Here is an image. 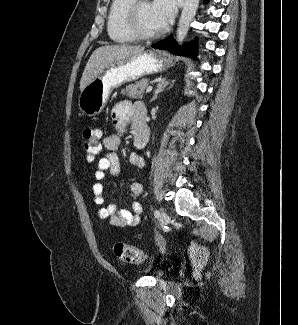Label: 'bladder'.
<instances>
[{
  "mask_svg": "<svg viewBox=\"0 0 298 325\" xmlns=\"http://www.w3.org/2000/svg\"><path fill=\"white\" fill-rule=\"evenodd\" d=\"M154 276L161 278V277L164 276V272L163 271H160V270L155 271L154 272Z\"/></svg>",
  "mask_w": 298,
  "mask_h": 325,
  "instance_id": "31cf9c89",
  "label": "bladder"
}]
</instances>
